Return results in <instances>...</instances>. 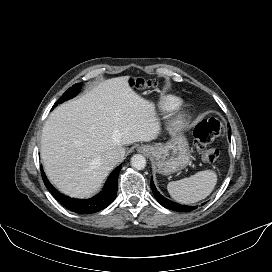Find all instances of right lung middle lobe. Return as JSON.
Returning <instances> with one entry per match:
<instances>
[{
  "instance_id": "obj_1",
  "label": "right lung middle lobe",
  "mask_w": 272,
  "mask_h": 272,
  "mask_svg": "<svg viewBox=\"0 0 272 272\" xmlns=\"http://www.w3.org/2000/svg\"><path fill=\"white\" fill-rule=\"evenodd\" d=\"M81 86H82V83H77V84L73 85L72 87H70L62 95V97L54 104L53 108H55L58 104H61L64 101L69 100V99L73 98L74 96H76L79 93Z\"/></svg>"
}]
</instances>
